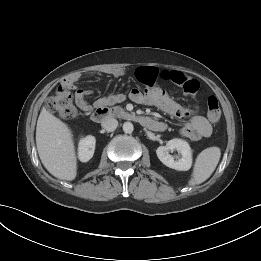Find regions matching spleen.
Listing matches in <instances>:
<instances>
[{
	"label": "spleen",
	"instance_id": "obj_1",
	"mask_svg": "<svg viewBox=\"0 0 261 261\" xmlns=\"http://www.w3.org/2000/svg\"><path fill=\"white\" fill-rule=\"evenodd\" d=\"M220 157L221 150L219 147H209L200 152L195 160L188 184L194 186L206 181L217 167Z\"/></svg>",
	"mask_w": 261,
	"mask_h": 261
}]
</instances>
